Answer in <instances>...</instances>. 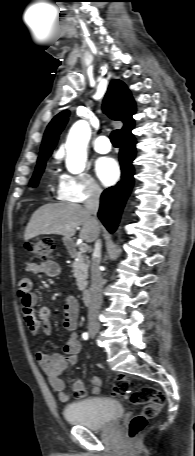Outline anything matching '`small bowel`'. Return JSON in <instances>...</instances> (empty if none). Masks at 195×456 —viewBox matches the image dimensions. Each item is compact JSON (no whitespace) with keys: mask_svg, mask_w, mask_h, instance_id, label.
Instances as JSON below:
<instances>
[{"mask_svg":"<svg viewBox=\"0 0 195 456\" xmlns=\"http://www.w3.org/2000/svg\"><path fill=\"white\" fill-rule=\"evenodd\" d=\"M26 270L37 275H45L56 277L60 273V266L53 260H47L40 263L27 262ZM17 295L21 302L24 321L33 335L42 331L46 335L52 332L50 322V310L48 307L36 306V295L33 293V282L30 278L24 277L20 279L17 285ZM78 303L76 299L69 296L64 304V320L63 326L69 332V337L64 345L63 354L47 353L43 351L36 352V360L40 364L42 370L46 373L51 387L58 393V398L61 402L69 401L70 396L66 391V384L63 380L64 371L77 363L78 354L81 349V344L76 332L78 324ZM92 389L91 394L96 396L101 392V380L98 377L91 379ZM73 395L77 399L86 397L87 392L84 387V382L77 379L72 384Z\"/></svg>","mask_w":195,"mask_h":456,"instance_id":"c3829d8e","label":"small bowel"}]
</instances>
